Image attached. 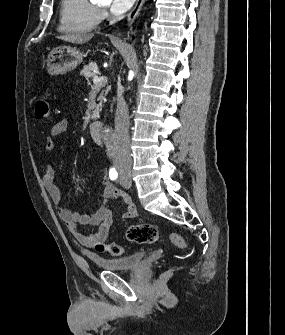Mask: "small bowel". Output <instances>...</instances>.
Segmentation results:
<instances>
[{
	"instance_id": "1",
	"label": "small bowel",
	"mask_w": 285,
	"mask_h": 335,
	"mask_svg": "<svg viewBox=\"0 0 285 335\" xmlns=\"http://www.w3.org/2000/svg\"><path fill=\"white\" fill-rule=\"evenodd\" d=\"M68 126V121L62 119L51 127L44 146L46 152H52L55 149V138L66 133ZM55 171L56 168L53 164L47 165L41 176V181L52 202L58 207L59 217L65 222L73 238L83 247L93 248L98 241L106 240L114 220L113 212L108 206L110 200L122 201L124 206V211L121 214L122 219H132L136 217L137 210L132 199L127 193L116 188L110 182L107 173H104L103 177V205L92 214H79L62 207L61 194L53 180ZM86 225L98 226V231L90 234L85 233L80 229V226Z\"/></svg>"
}]
</instances>
